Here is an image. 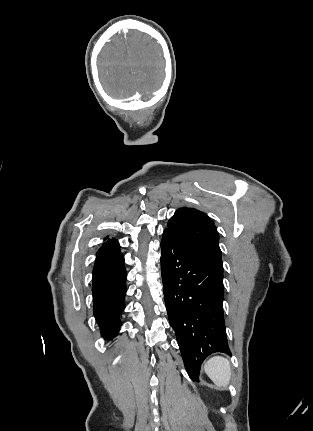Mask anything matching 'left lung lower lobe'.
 I'll list each match as a JSON object with an SVG mask.
<instances>
[{
  "mask_svg": "<svg viewBox=\"0 0 313 431\" xmlns=\"http://www.w3.org/2000/svg\"><path fill=\"white\" fill-rule=\"evenodd\" d=\"M161 275L169 322L186 371L199 382L207 356L215 352L231 356L222 307L223 271L163 232Z\"/></svg>",
  "mask_w": 313,
  "mask_h": 431,
  "instance_id": "left-lung-lower-lobe-1",
  "label": "left lung lower lobe"
}]
</instances>
